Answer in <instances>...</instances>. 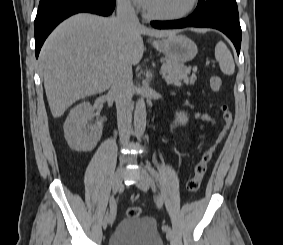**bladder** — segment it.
Masks as SVG:
<instances>
[{
  "label": "bladder",
  "mask_w": 283,
  "mask_h": 245,
  "mask_svg": "<svg viewBox=\"0 0 283 245\" xmlns=\"http://www.w3.org/2000/svg\"><path fill=\"white\" fill-rule=\"evenodd\" d=\"M108 245H164L157 222L149 216L120 221L108 239Z\"/></svg>",
  "instance_id": "1"
}]
</instances>
